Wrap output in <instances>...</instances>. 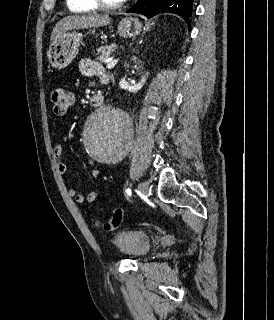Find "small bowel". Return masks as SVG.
I'll return each mask as SVG.
<instances>
[{
    "instance_id": "1",
    "label": "small bowel",
    "mask_w": 274,
    "mask_h": 320,
    "mask_svg": "<svg viewBox=\"0 0 274 320\" xmlns=\"http://www.w3.org/2000/svg\"><path fill=\"white\" fill-rule=\"evenodd\" d=\"M80 72L86 76H99L103 83H107L109 78L103 72L102 67L95 61L90 59H82L80 62ZM64 144L61 140L57 141L54 147V160L57 171L61 175H65L67 173V167L62 160ZM102 174L101 169H94L92 171V176L97 178ZM69 196L74 198V200L79 203H91L94 202L101 194L100 190H93L87 193H81L77 190L76 187L70 186L67 190Z\"/></svg>"
}]
</instances>
